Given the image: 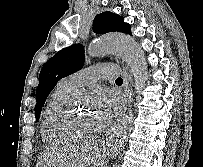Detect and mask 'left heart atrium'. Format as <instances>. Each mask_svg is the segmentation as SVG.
I'll return each instance as SVG.
<instances>
[{"mask_svg":"<svg viewBox=\"0 0 203 167\" xmlns=\"http://www.w3.org/2000/svg\"><path fill=\"white\" fill-rule=\"evenodd\" d=\"M120 100L118 97L104 92L98 98V110L96 118L99 128L106 127L116 116L120 108Z\"/></svg>","mask_w":203,"mask_h":167,"instance_id":"1","label":"left heart atrium"}]
</instances>
